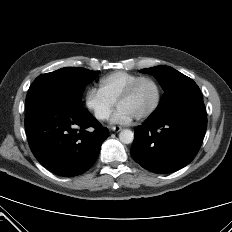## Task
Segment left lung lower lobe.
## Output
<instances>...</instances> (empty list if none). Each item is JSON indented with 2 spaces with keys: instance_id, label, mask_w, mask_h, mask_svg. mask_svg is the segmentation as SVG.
<instances>
[{
  "instance_id": "obj_1",
  "label": "left lung lower lobe",
  "mask_w": 232,
  "mask_h": 232,
  "mask_svg": "<svg viewBox=\"0 0 232 232\" xmlns=\"http://www.w3.org/2000/svg\"><path fill=\"white\" fill-rule=\"evenodd\" d=\"M207 127L201 94L187 98L138 126L130 153L145 169L162 174L189 164L198 153Z\"/></svg>"
}]
</instances>
